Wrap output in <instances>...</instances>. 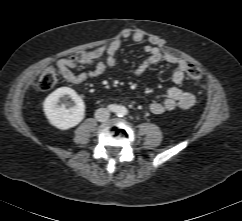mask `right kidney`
<instances>
[{"label": "right kidney", "instance_id": "obj_1", "mask_svg": "<svg viewBox=\"0 0 242 221\" xmlns=\"http://www.w3.org/2000/svg\"><path fill=\"white\" fill-rule=\"evenodd\" d=\"M44 113L51 125L67 130L78 125L85 116L82 98L69 87L52 92L44 101Z\"/></svg>", "mask_w": 242, "mask_h": 221}]
</instances>
